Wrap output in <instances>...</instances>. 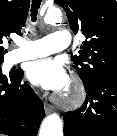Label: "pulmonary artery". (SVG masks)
Segmentation results:
<instances>
[{"label": "pulmonary artery", "instance_id": "1", "mask_svg": "<svg viewBox=\"0 0 117 136\" xmlns=\"http://www.w3.org/2000/svg\"><path fill=\"white\" fill-rule=\"evenodd\" d=\"M71 40L68 30L59 29L37 40L21 41L20 48L11 53V62L15 64L59 52L66 49L71 44Z\"/></svg>", "mask_w": 117, "mask_h": 136}]
</instances>
